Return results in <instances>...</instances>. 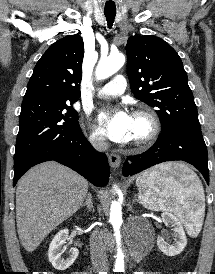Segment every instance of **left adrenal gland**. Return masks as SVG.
<instances>
[{"instance_id":"a2214340","label":"left adrenal gland","mask_w":215,"mask_h":274,"mask_svg":"<svg viewBox=\"0 0 215 274\" xmlns=\"http://www.w3.org/2000/svg\"><path fill=\"white\" fill-rule=\"evenodd\" d=\"M135 201H138L137 198H136V195H135V198H134V200H133V203H134Z\"/></svg>"}]
</instances>
